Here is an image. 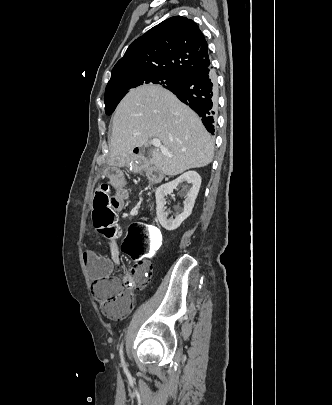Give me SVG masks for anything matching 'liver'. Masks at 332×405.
I'll return each mask as SVG.
<instances>
[{
  "mask_svg": "<svg viewBox=\"0 0 332 405\" xmlns=\"http://www.w3.org/2000/svg\"><path fill=\"white\" fill-rule=\"evenodd\" d=\"M157 138L171 156L154 150L150 163L175 176L213 160L214 144L199 116L170 91L154 85L130 91L117 106L110 140V163L125 165L136 147Z\"/></svg>",
  "mask_w": 332,
  "mask_h": 405,
  "instance_id": "6515ba94",
  "label": "liver"
}]
</instances>
